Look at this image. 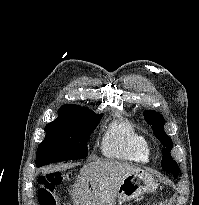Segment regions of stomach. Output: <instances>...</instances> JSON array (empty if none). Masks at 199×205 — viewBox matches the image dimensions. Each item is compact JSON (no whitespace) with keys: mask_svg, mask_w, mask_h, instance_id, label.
Wrapping results in <instances>:
<instances>
[{"mask_svg":"<svg viewBox=\"0 0 199 205\" xmlns=\"http://www.w3.org/2000/svg\"><path fill=\"white\" fill-rule=\"evenodd\" d=\"M156 182L147 172L127 174L119 185L117 199L120 205L139 197L145 192H154Z\"/></svg>","mask_w":199,"mask_h":205,"instance_id":"0dacf381","label":"stomach"}]
</instances>
